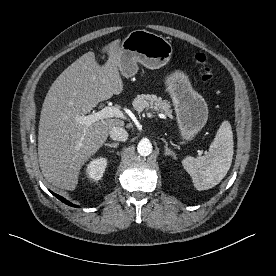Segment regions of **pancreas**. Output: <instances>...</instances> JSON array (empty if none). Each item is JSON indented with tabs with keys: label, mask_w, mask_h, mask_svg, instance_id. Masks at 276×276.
Wrapping results in <instances>:
<instances>
[{
	"label": "pancreas",
	"mask_w": 276,
	"mask_h": 276,
	"mask_svg": "<svg viewBox=\"0 0 276 276\" xmlns=\"http://www.w3.org/2000/svg\"><path fill=\"white\" fill-rule=\"evenodd\" d=\"M133 107L141 113L144 110H152L165 113L168 117L172 118V111L170 109V103L166 100H162L156 95L141 94L138 95L133 101Z\"/></svg>",
	"instance_id": "pancreas-1"
}]
</instances>
